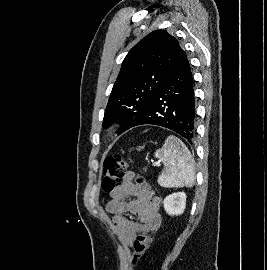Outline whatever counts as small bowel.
<instances>
[{"mask_svg": "<svg viewBox=\"0 0 267 270\" xmlns=\"http://www.w3.org/2000/svg\"><path fill=\"white\" fill-rule=\"evenodd\" d=\"M160 200L147 184H138L128 172L112 192L106 211L113 215V228L127 247L134 245L138 234L157 230L161 225ZM131 214L135 220L126 217Z\"/></svg>", "mask_w": 267, "mask_h": 270, "instance_id": "obj_1", "label": "small bowel"}]
</instances>
